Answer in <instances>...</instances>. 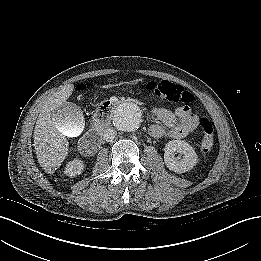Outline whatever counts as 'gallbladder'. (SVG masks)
Here are the masks:
<instances>
[{
  "mask_svg": "<svg viewBox=\"0 0 261 261\" xmlns=\"http://www.w3.org/2000/svg\"><path fill=\"white\" fill-rule=\"evenodd\" d=\"M51 121L61 134L68 137L79 136L85 126L81 108L71 101L55 108L51 113Z\"/></svg>",
  "mask_w": 261,
  "mask_h": 261,
  "instance_id": "1",
  "label": "gallbladder"
}]
</instances>
